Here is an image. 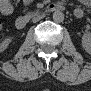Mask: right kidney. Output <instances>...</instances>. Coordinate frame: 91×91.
Segmentation results:
<instances>
[{
  "instance_id": "obj_1",
  "label": "right kidney",
  "mask_w": 91,
  "mask_h": 91,
  "mask_svg": "<svg viewBox=\"0 0 91 91\" xmlns=\"http://www.w3.org/2000/svg\"><path fill=\"white\" fill-rule=\"evenodd\" d=\"M12 40H13V38H11V37L5 38L0 44L1 51L6 50L9 46V44L12 42Z\"/></svg>"
}]
</instances>
